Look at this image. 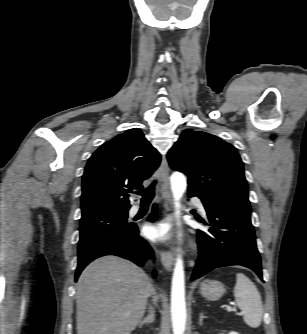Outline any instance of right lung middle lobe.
Masks as SVG:
<instances>
[{
    "instance_id": "dd1d6c3e",
    "label": "right lung middle lobe",
    "mask_w": 307,
    "mask_h": 334,
    "mask_svg": "<svg viewBox=\"0 0 307 334\" xmlns=\"http://www.w3.org/2000/svg\"><path fill=\"white\" fill-rule=\"evenodd\" d=\"M127 218L128 212L109 211L82 216L78 253L97 242L128 234L135 225L128 223Z\"/></svg>"
}]
</instances>
